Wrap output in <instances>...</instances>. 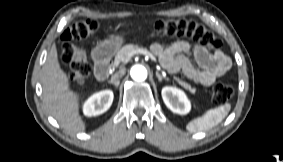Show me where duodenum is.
<instances>
[{"label": "duodenum", "instance_id": "1", "mask_svg": "<svg viewBox=\"0 0 283 162\" xmlns=\"http://www.w3.org/2000/svg\"><path fill=\"white\" fill-rule=\"evenodd\" d=\"M95 75L99 80L108 77L111 67V55L107 49H97L94 53Z\"/></svg>", "mask_w": 283, "mask_h": 162}]
</instances>
